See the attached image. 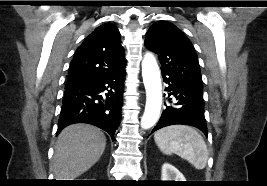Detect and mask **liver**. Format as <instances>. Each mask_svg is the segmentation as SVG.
I'll return each instance as SVG.
<instances>
[{
	"label": "liver",
	"instance_id": "liver-1",
	"mask_svg": "<svg viewBox=\"0 0 267 186\" xmlns=\"http://www.w3.org/2000/svg\"><path fill=\"white\" fill-rule=\"evenodd\" d=\"M106 146L103 132L88 124H73L59 134L52 170L56 180H74L90 169Z\"/></svg>",
	"mask_w": 267,
	"mask_h": 186
}]
</instances>
